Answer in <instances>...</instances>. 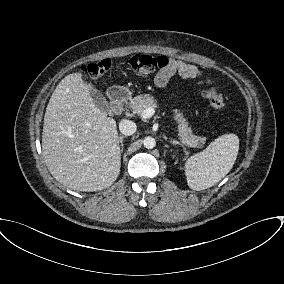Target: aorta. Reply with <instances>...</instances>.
Instances as JSON below:
<instances>
[{"instance_id":"1","label":"aorta","mask_w":284,"mask_h":284,"mask_svg":"<svg viewBox=\"0 0 284 284\" xmlns=\"http://www.w3.org/2000/svg\"><path fill=\"white\" fill-rule=\"evenodd\" d=\"M144 147L147 149H153L156 146V141L153 137L147 136L143 140Z\"/></svg>"}]
</instances>
